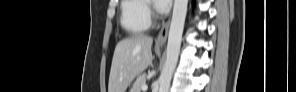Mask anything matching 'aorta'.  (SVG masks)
Segmentation results:
<instances>
[{
    "instance_id": "1",
    "label": "aorta",
    "mask_w": 296,
    "mask_h": 92,
    "mask_svg": "<svg viewBox=\"0 0 296 92\" xmlns=\"http://www.w3.org/2000/svg\"><path fill=\"white\" fill-rule=\"evenodd\" d=\"M188 0H174L173 15L167 43V57L159 77V92H168L177 65Z\"/></svg>"
}]
</instances>
